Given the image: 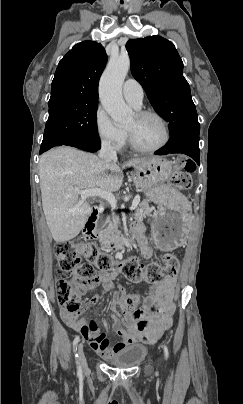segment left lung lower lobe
<instances>
[{"mask_svg": "<svg viewBox=\"0 0 243 404\" xmlns=\"http://www.w3.org/2000/svg\"><path fill=\"white\" fill-rule=\"evenodd\" d=\"M199 133L194 131H182L174 134L171 140L161 149L156 151L158 155L169 153H182L190 156L197 164L199 159Z\"/></svg>", "mask_w": 243, "mask_h": 404, "instance_id": "1", "label": "left lung lower lobe"}]
</instances>
